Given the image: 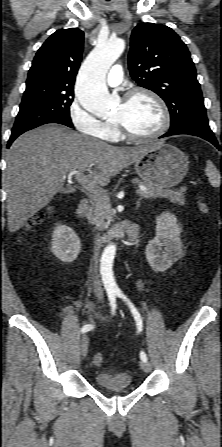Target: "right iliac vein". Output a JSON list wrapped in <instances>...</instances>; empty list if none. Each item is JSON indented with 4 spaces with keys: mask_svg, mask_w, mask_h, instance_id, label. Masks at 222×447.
I'll return each mask as SVG.
<instances>
[{
    "mask_svg": "<svg viewBox=\"0 0 222 447\" xmlns=\"http://www.w3.org/2000/svg\"><path fill=\"white\" fill-rule=\"evenodd\" d=\"M81 354L86 357L89 348V337L87 334H83L80 340Z\"/></svg>",
    "mask_w": 222,
    "mask_h": 447,
    "instance_id": "obj_1",
    "label": "right iliac vein"
}]
</instances>
